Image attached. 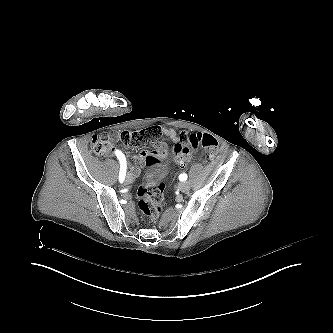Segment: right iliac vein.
Returning <instances> with one entry per match:
<instances>
[{"label": "right iliac vein", "mask_w": 333, "mask_h": 333, "mask_svg": "<svg viewBox=\"0 0 333 333\" xmlns=\"http://www.w3.org/2000/svg\"><path fill=\"white\" fill-rule=\"evenodd\" d=\"M132 181H133V175L130 172H128L126 175L125 183L130 184Z\"/></svg>", "instance_id": "right-iliac-vein-1"}]
</instances>
